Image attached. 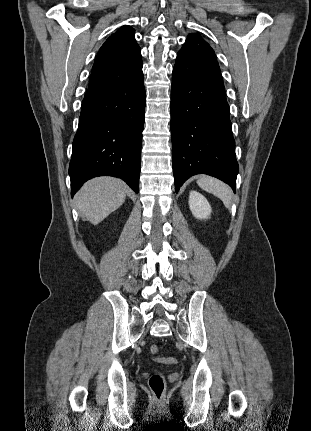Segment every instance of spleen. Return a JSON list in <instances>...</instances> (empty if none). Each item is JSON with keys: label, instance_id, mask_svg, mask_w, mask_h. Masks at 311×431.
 Here are the masks:
<instances>
[{"label": "spleen", "instance_id": "spleen-1", "mask_svg": "<svg viewBox=\"0 0 311 431\" xmlns=\"http://www.w3.org/2000/svg\"><path fill=\"white\" fill-rule=\"evenodd\" d=\"M197 184L202 190H205V192H209V194H214V196L220 198L226 208H230L232 192L229 186H226V184H223L220 180L210 178V176H201V178L197 180Z\"/></svg>", "mask_w": 311, "mask_h": 431}]
</instances>
